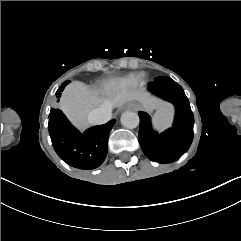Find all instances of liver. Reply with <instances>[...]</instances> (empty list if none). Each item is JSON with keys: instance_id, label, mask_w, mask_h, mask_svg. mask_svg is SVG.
Returning <instances> with one entry per match:
<instances>
[{"instance_id": "6515ba94", "label": "liver", "mask_w": 241, "mask_h": 241, "mask_svg": "<svg viewBox=\"0 0 241 241\" xmlns=\"http://www.w3.org/2000/svg\"><path fill=\"white\" fill-rule=\"evenodd\" d=\"M107 95L110 100L105 102L103 99L97 98L93 91L89 90L84 84L73 82L66 87L60 102V108L81 129L89 124L88 114L103 103H111L114 108H117L125 103L135 101L142 103L149 111L153 109L168 110L166 104L150 100L142 92H121L119 94L107 92Z\"/></svg>"}]
</instances>
